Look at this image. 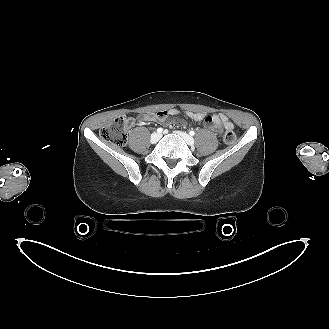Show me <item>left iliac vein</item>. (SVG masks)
<instances>
[{
	"label": "left iliac vein",
	"mask_w": 329,
	"mask_h": 329,
	"mask_svg": "<svg viewBox=\"0 0 329 329\" xmlns=\"http://www.w3.org/2000/svg\"><path fill=\"white\" fill-rule=\"evenodd\" d=\"M177 134L180 135L188 145L192 146L194 144V139L187 133L179 131Z\"/></svg>",
	"instance_id": "1"
}]
</instances>
